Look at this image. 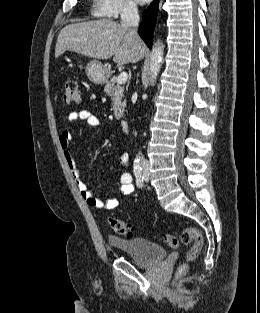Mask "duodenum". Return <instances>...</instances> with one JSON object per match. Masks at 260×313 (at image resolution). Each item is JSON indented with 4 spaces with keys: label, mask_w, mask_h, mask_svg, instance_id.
<instances>
[{
    "label": "duodenum",
    "mask_w": 260,
    "mask_h": 313,
    "mask_svg": "<svg viewBox=\"0 0 260 313\" xmlns=\"http://www.w3.org/2000/svg\"><path fill=\"white\" fill-rule=\"evenodd\" d=\"M122 129L125 133L129 131V122L127 120H123L121 123Z\"/></svg>",
    "instance_id": "1"
}]
</instances>
